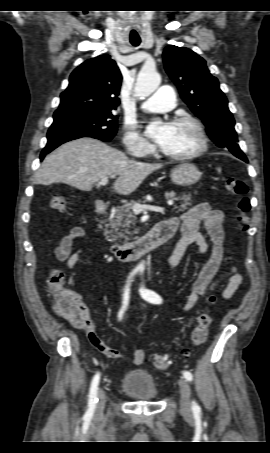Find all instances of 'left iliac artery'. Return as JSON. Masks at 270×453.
Segmentation results:
<instances>
[{
    "label": "left iliac artery",
    "mask_w": 270,
    "mask_h": 453,
    "mask_svg": "<svg viewBox=\"0 0 270 453\" xmlns=\"http://www.w3.org/2000/svg\"><path fill=\"white\" fill-rule=\"evenodd\" d=\"M140 294L143 299H145L146 301H148L150 303L160 304L162 302V298L157 293H155L154 291L145 289L143 286L140 288ZM183 376L187 381H192V379H193V375L189 371H184ZM192 409H193V411H200V407L198 406V404L195 401L192 402Z\"/></svg>",
    "instance_id": "1"
}]
</instances>
